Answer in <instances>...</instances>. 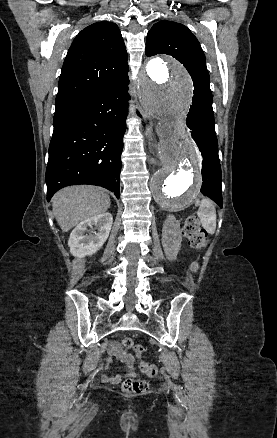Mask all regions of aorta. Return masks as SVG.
Returning <instances> with one entry per match:
<instances>
[{
	"label": "aorta",
	"instance_id": "aorta-1",
	"mask_svg": "<svg viewBox=\"0 0 277 438\" xmlns=\"http://www.w3.org/2000/svg\"><path fill=\"white\" fill-rule=\"evenodd\" d=\"M191 90L187 71L170 58L149 60L138 76L139 102L158 120L161 167L152 177V193L157 204L169 211L189 206L202 181L200 154L185 127Z\"/></svg>",
	"mask_w": 277,
	"mask_h": 438
}]
</instances>
